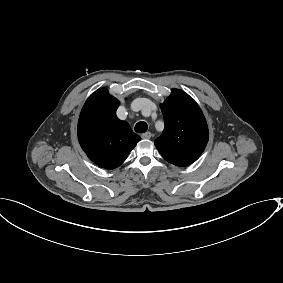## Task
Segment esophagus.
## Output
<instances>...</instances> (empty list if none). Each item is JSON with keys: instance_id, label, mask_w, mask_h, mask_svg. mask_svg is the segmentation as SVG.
I'll return each instance as SVG.
<instances>
[{"instance_id": "esophagus-1", "label": "esophagus", "mask_w": 283, "mask_h": 283, "mask_svg": "<svg viewBox=\"0 0 283 283\" xmlns=\"http://www.w3.org/2000/svg\"><path fill=\"white\" fill-rule=\"evenodd\" d=\"M151 136H152V134H151L150 132H146V133H143V134L141 135V137H142L143 139H150Z\"/></svg>"}]
</instances>
